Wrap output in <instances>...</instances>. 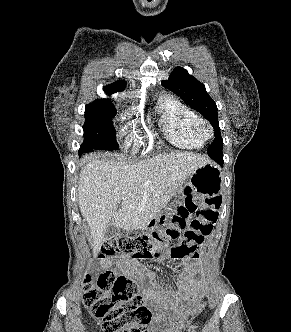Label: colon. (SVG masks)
Segmentation results:
<instances>
[{"label": "colon", "instance_id": "colon-1", "mask_svg": "<svg viewBox=\"0 0 291 332\" xmlns=\"http://www.w3.org/2000/svg\"><path fill=\"white\" fill-rule=\"evenodd\" d=\"M219 205L218 197L206 198L198 204L186 192L185 204L171 217L170 228L111 237L103 245V255L122 253L136 260H149L167 252L172 259L197 258L198 246L218 219ZM85 283L83 303L94 317L102 319L103 332H147L151 311L133 279L105 271L95 282L87 277ZM204 307L199 301L180 310L171 319L167 331L183 332L188 321Z\"/></svg>", "mask_w": 291, "mask_h": 332}]
</instances>
